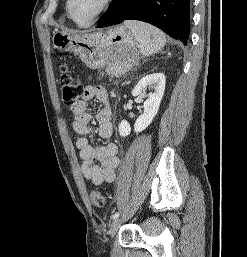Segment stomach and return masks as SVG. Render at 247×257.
Wrapping results in <instances>:
<instances>
[{"mask_svg":"<svg viewBox=\"0 0 247 257\" xmlns=\"http://www.w3.org/2000/svg\"><path fill=\"white\" fill-rule=\"evenodd\" d=\"M52 41L56 50L75 52L91 69H99L110 63H119L127 68L139 59L135 38L124 25L113 27L107 32L82 35L56 32Z\"/></svg>","mask_w":247,"mask_h":257,"instance_id":"0dacf381","label":"stomach"}]
</instances>
